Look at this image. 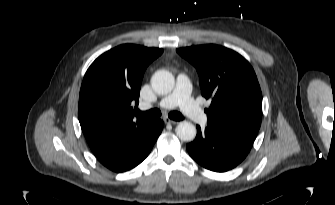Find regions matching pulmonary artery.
<instances>
[{"label": "pulmonary artery", "instance_id": "1", "mask_svg": "<svg viewBox=\"0 0 335 205\" xmlns=\"http://www.w3.org/2000/svg\"><path fill=\"white\" fill-rule=\"evenodd\" d=\"M157 106L164 109H171L178 106L193 122L201 125L207 122L206 114L191 97V82L184 74L177 76L176 86L173 92L160 100ZM143 107L149 108L151 105L144 104Z\"/></svg>", "mask_w": 335, "mask_h": 205}]
</instances>
